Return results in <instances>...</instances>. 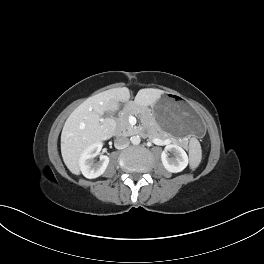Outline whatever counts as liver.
Segmentation results:
<instances>
[{
	"label": "liver",
	"instance_id": "1",
	"mask_svg": "<svg viewBox=\"0 0 264 264\" xmlns=\"http://www.w3.org/2000/svg\"><path fill=\"white\" fill-rule=\"evenodd\" d=\"M164 91L141 89L134 105L146 107L155 104ZM130 99L128 88H114L94 95L80 104L67 118L61 133V154L67 168L80 174V157L84 149L110 139L116 130V121L101 118L104 112L116 111L120 102Z\"/></svg>",
	"mask_w": 264,
	"mask_h": 264
}]
</instances>
